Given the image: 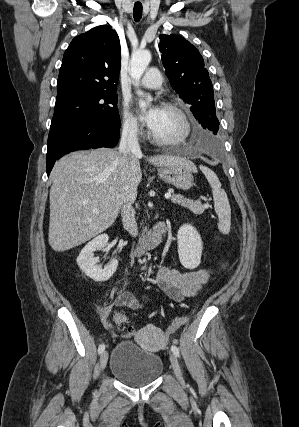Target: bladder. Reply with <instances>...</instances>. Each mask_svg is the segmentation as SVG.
I'll use <instances>...</instances> for the list:
<instances>
[{
	"label": "bladder",
	"instance_id": "bladder-1",
	"mask_svg": "<svg viewBox=\"0 0 299 427\" xmlns=\"http://www.w3.org/2000/svg\"><path fill=\"white\" fill-rule=\"evenodd\" d=\"M163 371L157 354L140 347L132 340H122L114 348L110 372L123 384L141 387L154 382Z\"/></svg>",
	"mask_w": 299,
	"mask_h": 427
}]
</instances>
